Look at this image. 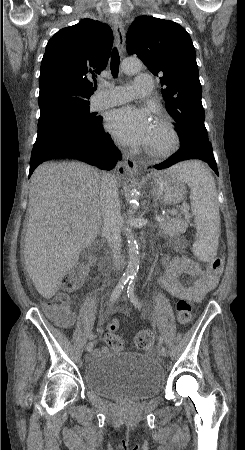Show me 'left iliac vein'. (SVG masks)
<instances>
[{
	"mask_svg": "<svg viewBox=\"0 0 245 450\" xmlns=\"http://www.w3.org/2000/svg\"><path fill=\"white\" fill-rule=\"evenodd\" d=\"M160 354H161L163 357H166V356L168 355V351H167V348H166L165 346H161V347H160Z\"/></svg>",
	"mask_w": 245,
	"mask_h": 450,
	"instance_id": "obj_1",
	"label": "left iliac vein"
}]
</instances>
